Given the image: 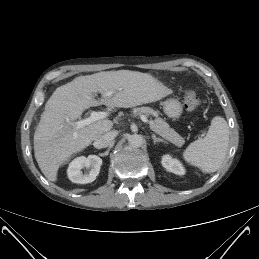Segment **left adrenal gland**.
I'll use <instances>...</instances> for the list:
<instances>
[{
  "mask_svg": "<svg viewBox=\"0 0 259 259\" xmlns=\"http://www.w3.org/2000/svg\"><path fill=\"white\" fill-rule=\"evenodd\" d=\"M152 139H153L154 144H156L157 142H162V143L166 144V141H164L161 138H157L154 134L152 135Z\"/></svg>",
  "mask_w": 259,
  "mask_h": 259,
  "instance_id": "obj_1",
  "label": "left adrenal gland"
}]
</instances>
